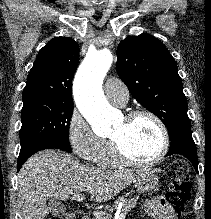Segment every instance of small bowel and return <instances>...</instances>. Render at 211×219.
I'll return each mask as SVG.
<instances>
[{"label": "small bowel", "mask_w": 211, "mask_h": 219, "mask_svg": "<svg viewBox=\"0 0 211 219\" xmlns=\"http://www.w3.org/2000/svg\"><path fill=\"white\" fill-rule=\"evenodd\" d=\"M143 209L145 214L152 219H175L173 209L161 197L147 200Z\"/></svg>", "instance_id": "small-bowel-1"}]
</instances>
